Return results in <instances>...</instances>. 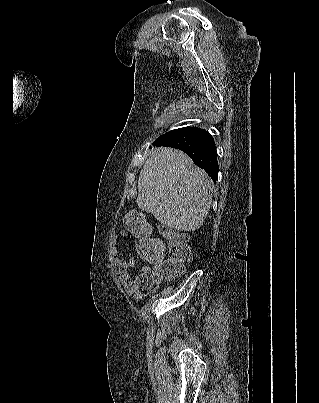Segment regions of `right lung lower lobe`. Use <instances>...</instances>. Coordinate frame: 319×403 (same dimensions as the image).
I'll return each instance as SVG.
<instances>
[{
	"label": "right lung lower lobe",
	"instance_id": "right-lung-lower-lobe-1",
	"mask_svg": "<svg viewBox=\"0 0 319 403\" xmlns=\"http://www.w3.org/2000/svg\"><path fill=\"white\" fill-rule=\"evenodd\" d=\"M153 144L184 151L197 166L208 173L213 181L218 179L216 146L208 131L197 127L180 128L161 135Z\"/></svg>",
	"mask_w": 319,
	"mask_h": 403
}]
</instances>
